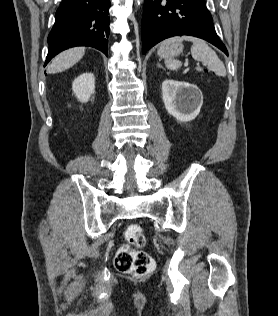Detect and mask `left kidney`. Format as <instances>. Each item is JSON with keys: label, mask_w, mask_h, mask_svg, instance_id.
<instances>
[{"label": "left kidney", "mask_w": 278, "mask_h": 316, "mask_svg": "<svg viewBox=\"0 0 278 316\" xmlns=\"http://www.w3.org/2000/svg\"><path fill=\"white\" fill-rule=\"evenodd\" d=\"M162 95L166 110L177 120L188 122L199 115L203 95L196 85L167 79L162 83Z\"/></svg>", "instance_id": "left-kidney-1"}]
</instances>
